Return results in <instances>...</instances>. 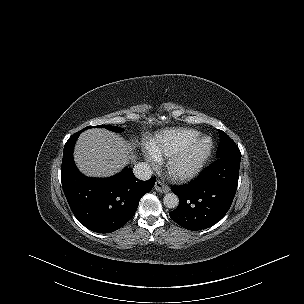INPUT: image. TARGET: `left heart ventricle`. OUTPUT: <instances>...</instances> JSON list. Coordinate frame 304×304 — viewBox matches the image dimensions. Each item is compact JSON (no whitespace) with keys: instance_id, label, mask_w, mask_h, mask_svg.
I'll list each match as a JSON object with an SVG mask.
<instances>
[{"instance_id":"obj_1","label":"left heart ventricle","mask_w":304,"mask_h":304,"mask_svg":"<svg viewBox=\"0 0 304 304\" xmlns=\"http://www.w3.org/2000/svg\"><path fill=\"white\" fill-rule=\"evenodd\" d=\"M206 147L207 142H203L197 148H195L194 151L187 157L186 164H192L205 151Z\"/></svg>"}]
</instances>
